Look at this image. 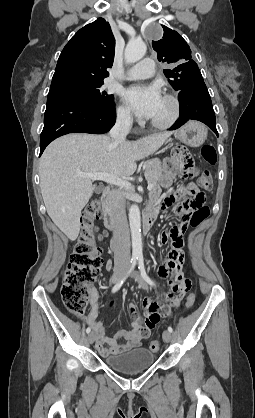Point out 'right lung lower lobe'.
<instances>
[{"label":"right lung lower lobe","instance_id":"right-lung-lower-lobe-1","mask_svg":"<svg viewBox=\"0 0 255 418\" xmlns=\"http://www.w3.org/2000/svg\"><path fill=\"white\" fill-rule=\"evenodd\" d=\"M114 107L103 110L73 97L47 99L44 128L40 137V155L54 139L68 133L103 134L115 124Z\"/></svg>","mask_w":255,"mask_h":418}]
</instances>
